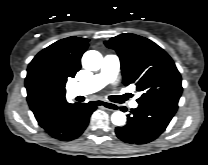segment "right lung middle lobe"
<instances>
[{
	"label": "right lung middle lobe",
	"instance_id": "right-lung-middle-lobe-1",
	"mask_svg": "<svg viewBox=\"0 0 208 165\" xmlns=\"http://www.w3.org/2000/svg\"><path fill=\"white\" fill-rule=\"evenodd\" d=\"M31 88L36 93L42 94L50 91L53 88V84L49 81H33L31 83Z\"/></svg>",
	"mask_w": 208,
	"mask_h": 165
}]
</instances>
